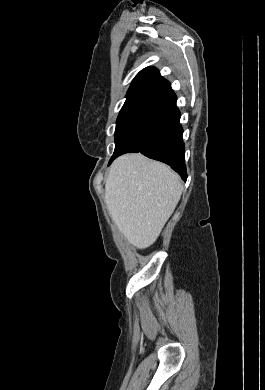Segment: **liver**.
<instances>
[{"instance_id":"1","label":"liver","mask_w":265,"mask_h":390,"mask_svg":"<svg viewBox=\"0 0 265 390\" xmlns=\"http://www.w3.org/2000/svg\"><path fill=\"white\" fill-rule=\"evenodd\" d=\"M183 190L178 174L140 153L125 154L111 165L105 202L128 243L151 246L176 208Z\"/></svg>"}]
</instances>
